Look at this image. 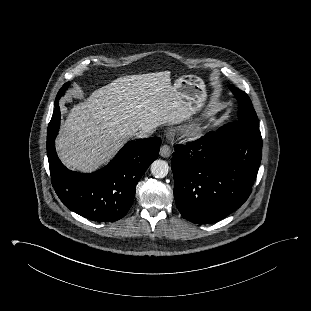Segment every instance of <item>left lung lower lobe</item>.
<instances>
[{
	"mask_svg": "<svg viewBox=\"0 0 311 311\" xmlns=\"http://www.w3.org/2000/svg\"><path fill=\"white\" fill-rule=\"evenodd\" d=\"M258 127L236 121L186 145H176L171 168L181 215L199 224L217 222L249 197L261 162Z\"/></svg>",
	"mask_w": 311,
	"mask_h": 311,
	"instance_id": "1",
	"label": "left lung lower lobe"
}]
</instances>
